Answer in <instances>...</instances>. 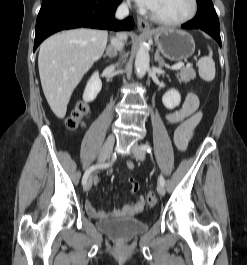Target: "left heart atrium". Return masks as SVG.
<instances>
[{
	"mask_svg": "<svg viewBox=\"0 0 247 265\" xmlns=\"http://www.w3.org/2000/svg\"><path fill=\"white\" fill-rule=\"evenodd\" d=\"M140 6L145 8H151L156 0H135Z\"/></svg>",
	"mask_w": 247,
	"mask_h": 265,
	"instance_id": "left-heart-atrium-1",
	"label": "left heart atrium"
}]
</instances>
